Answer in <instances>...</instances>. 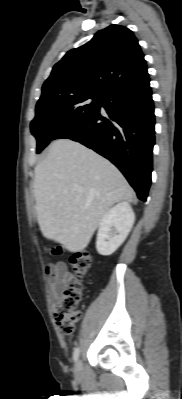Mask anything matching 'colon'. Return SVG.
Masks as SVG:
<instances>
[{"instance_id":"1","label":"colon","mask_w":182,"mask_h":399,"mask_svg":"<svg viewBox=\"0 0 182 399\" xmlns=\"http://www.w3.org/2000/svg\"><path fill=\"white\" fill-rule=\"evenodd\" d=\"M49 250L52 254L59 255L63 252V246L53 243ZM92 258L86 251L77 253L71 260V268L75 279L65 290L55 307V319L57 325L65 334H72L80 319L79 306L84 297L83 278L90 271Z\"/></svg>"}]
</instances>
